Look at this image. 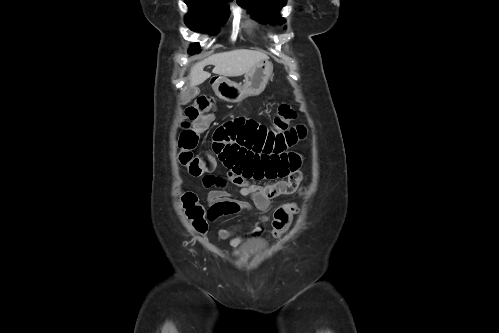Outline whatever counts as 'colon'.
<instances>
[{
  "mask_svg": "<svg viewBox=\"0 0 499 333\" xmlns=\"http://www.w3.org/2000/svg\"><path fill=\"white\" fill-rule=\"evenodd\" d=\"M209 108L210 101L205 97L199 98L194 105L190 106L186 111L190 121L183 124L179 138V162L193 176L201 175L214 166L213 157L208 153L200 155L194 153L199 142V134L207 125V118L202 113ZM295 118L296 111L291 104H280L272 118L271 129L277 133L285 132L291 127V123ZM182 202L186 215L194 229L200 233L205 232L209 217L204 206L199 202L197 195L186 192L182 196ZM297 213L298 206L295 203L279 206L274 212V235L278 236L286 231Z\"/></svg>",
  "mask_w": 499,
  "mask_h": 333,
  "instance_id": "colon-1",
  "label": "colon"
}]
</instances>
